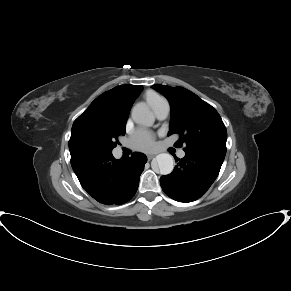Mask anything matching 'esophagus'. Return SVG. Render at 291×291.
I'll return each mask as SVG.
<instances>
[{
	"label": "esophagus",
	"instance_id": "esophagus-1",
	"mask_svg": "<svg viewBox=\"0 0 291 291\" xmlns=\"http://www.w3.org/2000/svg\"><path fill=\"white\" fill-rule=\"evenodd\" d=\"M156 156V154H148L147 158L148 160H151L152 158H154Z\"/></svg>",
	"mask_w": 291,
	"mask_h": 291
}]
</instances>
